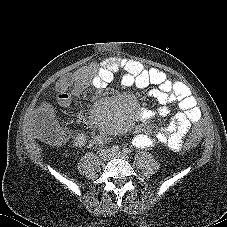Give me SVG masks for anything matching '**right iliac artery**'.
Segmentation results:
<instances>
[{
    "label": "right iliac artery",
    "instance_id": "1",
    "mask_svg": "<svg viewBox=\"0 0 227 227\" xmlns=\"http://www.w3.org/2000/svg\"><path fill=\"white\" fill-rule=\"evenodd\" d=\"M118 150H119V147H118V146H113V147L111 148V151H112L113 153H116Z\"/></svg>",
    "mask_w": 227,
    "mask_h": 227
}]
</instances>
